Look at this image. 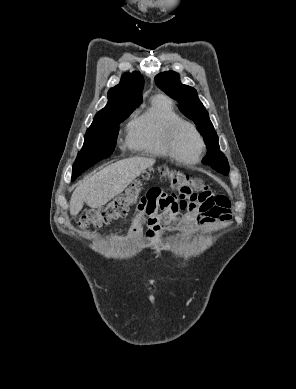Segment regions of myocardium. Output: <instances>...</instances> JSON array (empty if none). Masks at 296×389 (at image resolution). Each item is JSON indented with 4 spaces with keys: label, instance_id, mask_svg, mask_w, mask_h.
<instances>
[{
    "label": "myocardium",
    "instance_id": "myocardium-1",
    "mask_svg": "<svg viewBox=\"0 0 296 389\" xmlns=\"http://www.w3.org/2000/svg\"><path fill=\"white\" fill-rule=\"evenodd\" d=\"M182 127L190 128L193 131V133L195 134V136L197 137V139H198V142H199V152H198L197 157L195 159H193V160H186V159L181 158L178 155L177 151H176L175 138H176L177 132ZM165 148H166L167 153L169 154V156L172 157L177 162H180L182 164L192 165V164L198 163L201 160V158H202V156H203V154L205 152V140H204L203 135L201 134V132L199 131V129L197 128V126L195 124H193L190 121L184 120V119H178V120L173 121L168 126V128L166 130V133H165Z\"/></svg>",
    "mask_w": 296,
    "mask_h": 389
}]
</instances>
